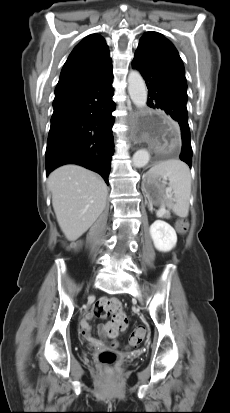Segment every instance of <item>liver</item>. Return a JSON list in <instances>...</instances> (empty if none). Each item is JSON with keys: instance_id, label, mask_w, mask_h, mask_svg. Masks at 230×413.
I'll return each mask as SVG.
<instances>
[{"instance_id": "6515ba94", "label": "liver", "mask_w": 230, "mask_h": 413, "mask_svg": "<svg viewBox=\"0 0 230 413\" xmlns=\"http://www.w3.org/2000/svg\"><path fill=\"white\" fill-rule=\"evenodd\" d=\"M47 184L62 232L69 241L77 240L103 212L107 185L97 174L78 165L57 168Z\"/></svg>"}]
</instances>
